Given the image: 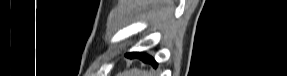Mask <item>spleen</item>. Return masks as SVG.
<instances>
[{"instance_id": "3e777b00", "label": "spleen", "mask_w": 287, "mask_h": 76, "mask_svg": "<svg viewBox=\"0 0 287 76\" xmlns=\"http://www.w3.org/2000/svg\"><path fill=\"white\" fill-rule=\"evenodd\" d=\"M118 76H149V72L137 68L130 69L129 71L119 73Z\"/></svg>"}]
</instances>
